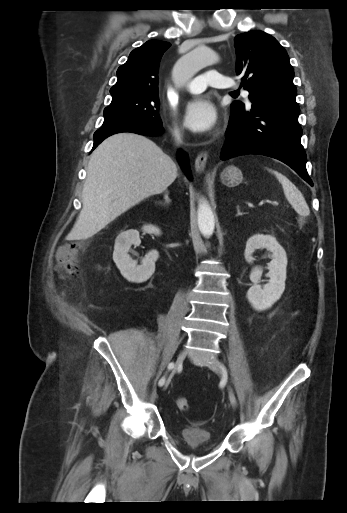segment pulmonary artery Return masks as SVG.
<instances>
[{
    "mask_svg": "<svg viewBox=\"0 0 347 513\" xmlns=\"http://www.w3.org/2000/svg\"><path fill=\"white\" fill-rule=\"evenodd\" d=\"M208 86L222 89L237 88V85L231 79L216 70H208L190 81L187 85V90L190 93L196 94L203 92ZM242 93L248 98L249 93L246 90H243Z\"/></svg>",
    "mask_w": 347,
    "mask_h": 513,
    "instance_id": "obj_1",
    "label": "pulmonary artery"
}]
</instances>
